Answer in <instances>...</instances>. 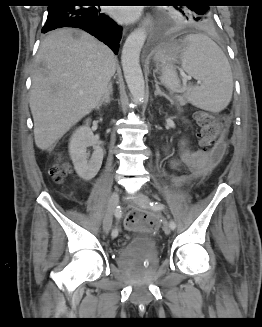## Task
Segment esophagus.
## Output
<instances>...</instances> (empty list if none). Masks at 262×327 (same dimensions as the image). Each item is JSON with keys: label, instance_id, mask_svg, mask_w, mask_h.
<instances>
[{"label": "esophagus", "instance_id": "esophagus-1", "mask_svg": "<svg viewBox=\"0 0 262 327\" xmlns=\"http://www.w3.org/2000/svg\"><path fill=\"white\" fill-rule=\"evenodd\" d=\"M139 25L145 28L148 33H151L154 29L155 22L150 13H147L145 17L139 22Z\"/></svg>", "mask_w": 262, "mask_h": 327}]
</instances>
